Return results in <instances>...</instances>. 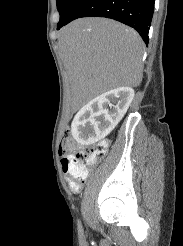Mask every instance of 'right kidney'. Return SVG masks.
Segmentation results:
<instances>
[{
	"label": "right kidney",
	"instance_id": "right-kidney-1",
	"mask_svg": "<svg viewBox=\"0 0 183 246\" xmlns=\"http://www.w3.org/2000/svg\"><path fill=\"white\" fill-rule=\"evenodd\" d=\"M133 98L134 90L131 87H119L91 100L73 119V138L82 145L104 139L121 121Z\"/></svg>",
	"mask_w": 183,
	"mask_h": 246
}]
</instances>
